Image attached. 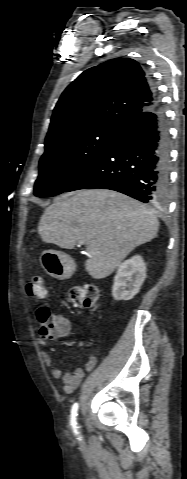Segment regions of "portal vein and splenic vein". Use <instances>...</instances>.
I'll use <instances>...</instances> for the list:
<instances>
[{
    "instance_id": "obj_1",
    "label": "portal vein and splenic vein",
    "mask_w": 187,
    "mask_h": 479,
    "mask_svg": "<svg viewBox=\"0 0 187 479\" xmlns=\"http://www.w3.org/2000/svg\"><path fill=\"white\" fill-rule=\"evenodd\" d=\"M80 244H84V242L82 241V242H80Z\"/></svg>"
}]
</instances>
